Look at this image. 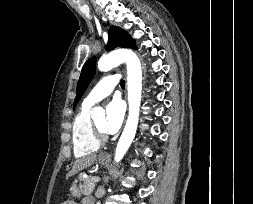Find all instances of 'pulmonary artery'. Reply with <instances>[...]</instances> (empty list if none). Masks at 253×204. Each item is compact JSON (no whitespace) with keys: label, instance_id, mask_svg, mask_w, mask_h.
Listing matches in <instances>:
<instances>
[{"label":"pulmonary artery","instance_id":"1","mask_svg":"<svg viewBox=\"0 0 253 204\" xmlns=\"http://www.w3.org/2000/svg\"><path fill=\"white\" fill-rule=\"evenodd\" d=\"M120 75L113 74L103 77L84 99V104L92 106L110 95L119 83Z\"/></svg>","mask_w":253,"mask_h":204}]
</instances>
